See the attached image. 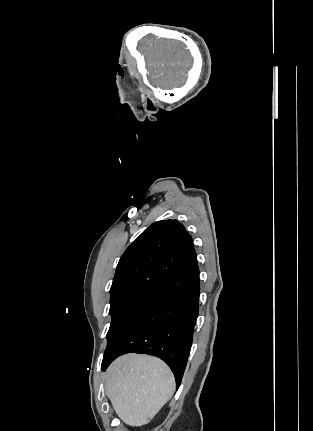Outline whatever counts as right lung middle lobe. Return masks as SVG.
Here are the masks:
<instances>
[{
    "mask_svg": "<svg viewBox=\"0 0 313 431\" xmlns=\"http://www.w3.org/2000/svg\"><path fill=\"white\" fill-rule=\"evenodd\" d=\"M148 294L125 293L110 298V311L112 316L111 325L107 333L108 343L116 336L127 319L144 301Z\"/></svg>",
    "mask_w": 313,
    "mask_h": 431,
    "instance_id": "dd1d6c3e",
    "label": "right lung middle lobe"
}]
</instances>
